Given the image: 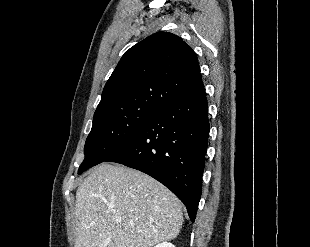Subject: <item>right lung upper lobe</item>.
Instances as JSON below:
<instances>
[{
  "instance_id": "1",
  "label": "right lung upper lobe",
  "mask_w": 310,
  "mask_h": 247,
  "mask_svg": "<svg viewBox=\"0 0 310 247\" xmlns=\"http://www.w3.org/2000/svg\"><path fill=\"white\" fill-rule=\"evenodd\" d=\"M203 86L195 52L178 36L158 32L125 52L94 117L137 106L160 110Z\"/></svg>"
}]
</instances>
